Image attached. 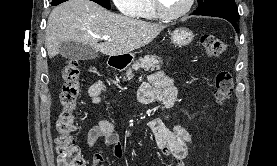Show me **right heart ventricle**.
Listing matches in <instances>:
<instances>
[{
  "instance_id": "right-heart-ventricle-1",
  "label": "right heart ventricle",
  "mask_w": 277,
  "mask_h": 166,
  "mask_svg": "<svg viewBox=\"0 0 277 166\" xmlns=\"http://www.w3.org/2000/svg\"><path fill=\"white\" fill-rule=\"evenodd\" d=\"M133 16L145 21H155L158 19L151 0H140L139 6Z\"/></svg>"
}]
</instances>
